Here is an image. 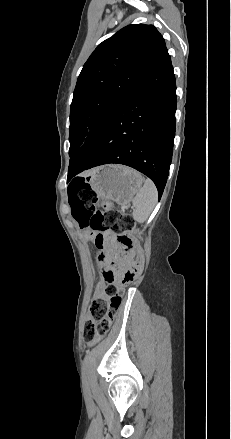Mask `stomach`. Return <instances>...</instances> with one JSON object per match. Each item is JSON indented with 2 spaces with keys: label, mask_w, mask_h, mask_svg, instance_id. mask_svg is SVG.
Returning <instances> with one entry per match:
<instances>
[{
  "label": "stomach",
  "mask_w": 231,
  "mask_h": 439,
  "mask_svg": "<svg viewBox=\"0 0 231 439\" xmlns=\"http://www.w3.org/2000/svg\"><path fill=\"white\" fill-rule=\"evenodd\" d=\"M143 177L137 171L121 166L107 165L94 170L85 183L97 193L100 200H110L126 206L142 187Z\"/></svg>",
  "instance_id": "obj_1"
}]
</instances>
